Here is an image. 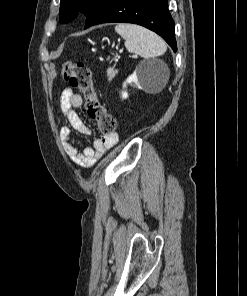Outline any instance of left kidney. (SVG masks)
<instances>
[{
  "mask_svg": "<svg viewBox=\"0 0 247 296\" xmlns=\"http://www.w3.org/2000/svg\"><path fill=\"white\" fill-rule=\"evenodd\" d=\"M149 81L150 76L148 73L142 67H138L136 71L124 82L123 88H126V85L130 84L134 88L144 90L148 86ZM122 98H128V93L126 91H122Z\"/></svg>",
  "mask_w": 247,
  "mask_h": 296,
  "instance_id": "obj_1",
  "label": "left kidney"
}]
</instances>
